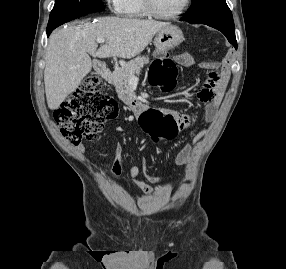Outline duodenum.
Instances as JSON below:
<instances>
[{"instance_id": "410a0bca", "label": "duodenum", "mask_w": 286, "mask_h": 269, "mask_svg": "<svg viewBox=\"0 0 286 269\" xmlns=\"http://www.w3.org/2000/svg\"><path fill=\"white\" fill-rule=\"evenodd\" d=\"M95 69L100 74L101 77H103L106 81H110L111 71L104 62H97L95 64ZM133 105L137 109V111H140L146 108L144 105H141L138 102H133Z\"/></svg>"}]
</instances>
